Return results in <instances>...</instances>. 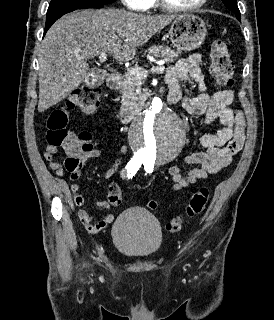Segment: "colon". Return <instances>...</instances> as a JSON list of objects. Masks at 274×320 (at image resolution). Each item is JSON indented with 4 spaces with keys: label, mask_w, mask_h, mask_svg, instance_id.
<instances>
[{
    "label": "colon",
    "mask_w": 274,
    "mask_h": 320,
    "mask_svg": "<svg viewBox=\"0 0 274 320\" xmlns=\"http://www.w3.org/2000/svg\"><path fill=\"white\" fill-rule=\"evenodd\" d=\"M211 71L216 81L226 87L233 83L234 64L230 51L221 40L215 41L210 48ZM99 102V90L97 86L77 89L68 99L67 105L55 107L47 119V143H54L55 149H65L70 155L64 160V167L70 173L80 170L82 157L93 148L91 133L79 131L73 133L68 127L69 111L80 109L83 112H94ZM110 194L108 199L112 206H119L122 196L119 193L120 187L115 182L109 183ZM209 191L203 187L197 190L186 205L187 217H194L200 214L208 201ZM149 209H158V202L150 199L147 202ZM166 230L169 233H178L181 230V218L174 217L167 221Z\"/></svg>",
    "instance_id": "5ec220e1"
}]
</instances>
